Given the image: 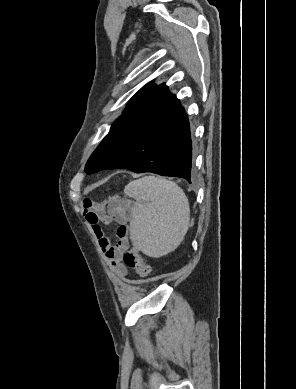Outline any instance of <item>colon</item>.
Here are the masks:
<instances>
[{
	"label": "colon",
	"instance_id": "colon-1",
	"mask_svg": "<svg viewBox=\"0 0 296 389\" xmlns=\"http://www.w3.org/2000/svg\"><path fill=\"white\" fill-rule=\"evenodd\" d=\"M123 262L141 278H147L151 272V267L143 261L139 251L135 247L124 253Z\"/></svg>",
	"mask_w": 296,
	"mask_h": 389
}]
</instances>
